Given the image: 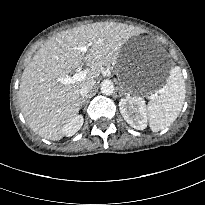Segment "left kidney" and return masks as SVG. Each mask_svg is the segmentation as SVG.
Wrapping results in <instances>:
<instances>
[{
	"label": "left kidney",
	"instance_id": "5707ae66",
	"mask_svg": "<svg viewBox=\"0 0 205 205\" xmlns=\"http://www.w3.org/2000/svg\"><path fill=\"white\" fill-rule=\"evenodd\" d=\"M119 109L124 120L134 129L143 130L147 127V112L142 97L127 96L121 99Z\"/></svg>",
	"mask_w": 205,
	"mask_h": 205
}]
</instances>
